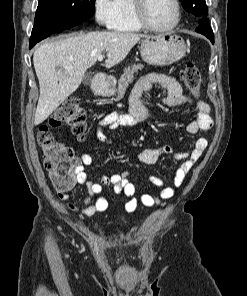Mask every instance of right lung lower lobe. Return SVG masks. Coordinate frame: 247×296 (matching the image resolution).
<instances>
[{
    "mask_svg": "<svg viewBox=\"0 0 247 296\" xmlns=\"http://www.w3.org/2000/svg\"><path fill=\"white\" fill-rule=\"evenodd\" d=\"M50 34H52V33H50ZM37 42H39V41H32V40H30V48H32Z\"/></svg>",
    "mask_w": 247,
    "mask_h": 296,
    "instance_id": "obj_1",
    "label": "right lung lower lobe"
}]
</instances>
